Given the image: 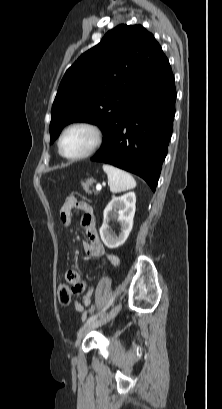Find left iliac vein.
I'll use <instances>...</instances> for the list:
<instances>
[{"label":"left iliac vein","instance_id":"1","mask_svg":"<svg viewBox=\"0 0 222 409\" xmlns=\"http://www.w3.org/2000/svg\"><path fill=\"white\" fill-rule=\"evenodd\" d=\"M121 310V305L118 304L116 305L110 312L107 314L103 315L100 319L95 320L91 323H86L84 326L81 327V329L78 332V339H82L85 337L90 331L93 329L102 326L112 320Z\"/></svg>","mask_w":222,"mask_h":409}]
</instances>
